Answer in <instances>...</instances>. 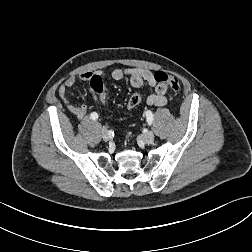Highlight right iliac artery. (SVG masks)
<instances>
[{
  "label": "right iliac artery",
  "mask_w": 252,
  "mask_h": 252,
  "mask_svg": "<svg viewBox=\"0 0 252 252\" xmlns=\"http://www.w3.org/2000/svg\"><path fill=\"white\" fill-rule=\"evenodd\" d=\"M91 119L92 120H97L98 119V114L96 112L91 113Z\"/></svg>",
  "instance_id": "1"
}]
</instances>
